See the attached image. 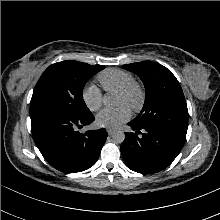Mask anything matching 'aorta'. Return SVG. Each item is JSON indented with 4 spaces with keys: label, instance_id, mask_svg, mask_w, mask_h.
<instances>
[{
    "label": "aorta",
    "instance_id": "1",
    "mask_svg": "<svg viewBox=\"0 0 220 220\" xmlns=\"http://www.w3.org/2000/svg\"><path fill=\"white\" fill-rule=\"evenodd\" d=\"M114 98L112 96L105 95L103 98V103L107 107L114 105ZM112 139L116 143H122L125 139V134L122 131H116L112 134Z\"/></svg>",
    "mask_w": 220,
    "mask_h": 220
}]
</instances>
